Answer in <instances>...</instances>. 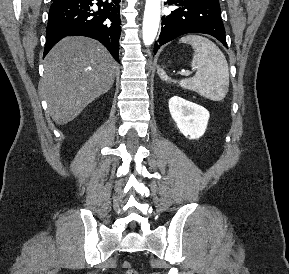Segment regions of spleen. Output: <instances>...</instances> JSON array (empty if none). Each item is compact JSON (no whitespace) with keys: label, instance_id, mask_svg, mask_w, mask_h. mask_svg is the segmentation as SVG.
<instances>
[{"label":"spleen","instance_id":"spleen-1","mask_svg":"<svg viewBox=\"0 0 289 274\" xmlns=\"http://www.w3.org/2000/svg\"><path fill=\"white\" fill-rule=\"evenodd\" d=\"M179 41L193 47L191 67L196 70V75L191 79L178 81V84L212 101L223 100L229 89V68L222 51L215 43L199 35H186ZM157 73L164 81L177 82L159 67Z\"/></svg>","mask_w":289,"mask_h":274}]
</instances>
